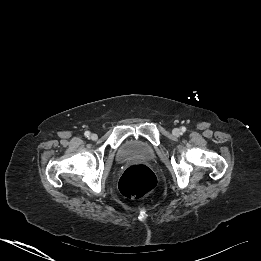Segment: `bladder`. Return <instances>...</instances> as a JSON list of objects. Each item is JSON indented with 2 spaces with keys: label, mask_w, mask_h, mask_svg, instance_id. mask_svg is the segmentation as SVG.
I'll return each mask as SVG.
<instances>
[{
  "label": "bladder",
  "mask_w": 261,
  "mask_h": 261,
  "mask_svg": "<svg viewBox=\"0 0 261 261\" xmlns=\"http://www.w3.org/2000/svg\"><path fill=\"white\" fill-rule=\"evenodd\" d=\"M154 155V148L150 144L143 141L131 140L121 147L118 153V159L120 161L133 159L149 161L153 159Z\"/></svg>",
  "instance_id": "31cf9c89"
}]
</instances>
